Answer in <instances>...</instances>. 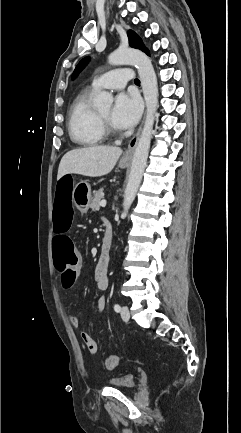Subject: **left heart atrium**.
<instances>
[{
	"label": "left heart atrium",
	"instance_id": "1",
	"mask_svg": "<svg viewBox=\"0 0 241 433\" xmlns=\"http://www.w3.org/2000/svg\"><path fill=\"white\" fill-rule=\"evenodd\" d=\"M142 111L141 100L134 94H119L111 112V123L118 129L133 127Z\"/></svg>",
	"mask_w": 241,
	"mask_h": 433
}]
</instances>
